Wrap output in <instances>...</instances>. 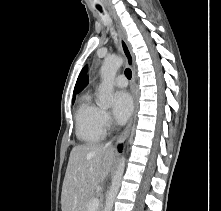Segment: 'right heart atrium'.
Here are the masks:
<instances>
[{
    "mask_svg": "<svg viewBox=\"0 0 221 211\" xmlns=\"http://www.w3.org/2000/svg\"><path fill=\"white\" fill-rule=\"evenodd\" d=\"M99 124H100V127L103 130V132L112 128V126H113L112 119L107 111L100 110Z\"/></svg>",
    "mask_w": 221,
    "mask_h": 211,
    "instance_id": "1",
    "label": "right heart atrium"
}]
</instances>
